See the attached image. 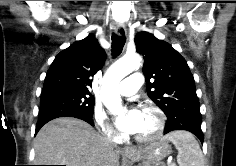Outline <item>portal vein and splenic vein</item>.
<instances>
[{
	"mask_svg": "<svg viewBox=\"0 0 236 166\" xmlns=\"http://www.w3.org/2000/svg\"><path fill=\"white\" fill-rule=\"evenodd\" d=\"M169 166H176V164L175 163H171Z\"/></svg>",
	"mask_w": 236,
	"mask_h": 166,
	"instance_id": "18ae733b",
	"label": "portal vein and splenic vein"
}]
</instances>
